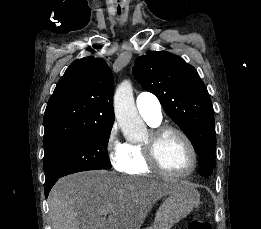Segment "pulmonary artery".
Segmentation results:
<instances>
[{
	"label": "pulmonary artery",
	"mask_w": 261,
	"mask_h": 229,
	"mask_svg": "<svg viewBox=\"0 0 261 229\" xmlns=\"http://www.w3.org/2000/svg\"><path fill=\"white\" fill-rule=\"evenodd\" d=\"M136 106L139 114L147 121L157 124L162 120V106L152 93L141 92L137 95Z\"/></svg>",
	"instance_id": "obj_1"
}]
</instances>
